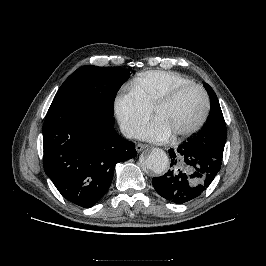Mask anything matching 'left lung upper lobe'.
<instances>
[{
    "label": "left lung upper lobe",
    "instance_id": "obj_1",
    "mask_svg": "<svg viewBox=\"0 0 266 266\" xmlns=\"http://www.w3.org/2000/svg\"><path fill=\"white\" fill-rule=\"evenodd\" d=\"M203 85L210 97V114L200 133L186 144L222 160L227 135L225 120L215 92L207 83Z\"/></svg>",
    "mask_w": 266,
    "mask_h": 266
}]
</instances>
